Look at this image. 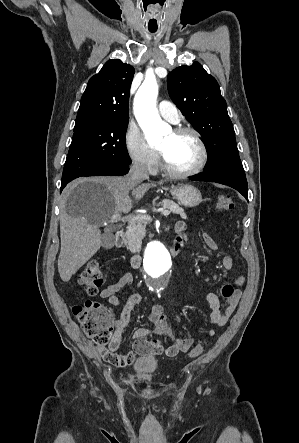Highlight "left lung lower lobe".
Instances as JSON below:
<instances>
[{
    "instance_id": "left-lung-lower-lobe-1",
    "label": "left lung lower lobe",
    "mask_w": 299,
    "mask_h": 443,
    "mask_svg": "<svg viewBox=\"0 0 299 443\" xmlns=\"http://www.w3.org/2000/svg\"><path fill=\"white\" fill-rule=\"evenodd\" d=\"M195 181H210L228 185L239 191L248 200L247 180L242 169L219 168L204 171L198 175L190 177Z\"/></svg>"
}]
</instances>
